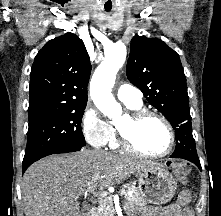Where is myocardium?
Returning a JSON list of instances; mask_svg holds the SVG:
<instances>
[{
  "instance_id": "obj_1",
  "label": "myocardium",
  "mask_w": 221,
  "mask_h": 216,
  "mask_svg": "<svg viewBox=\"0 0 221 216\" xmlns=\"http://www.w3.org/2000/svg\"><path fill=\"white\" fill-rule=\"evenodd\" d=\"M154 117L160 120L166 127L169 134V144L166 150L160 153H148L143 151L136 145L133 139L134 130L142 123L146 118ZM117 138L119 145L125 151L134 153L136 155L145 158H162L171 153L175 146L176 136L170 121L162 114L141 108L138 110H132L130 113L125 114L121 121L116 124Z\"/></svg>"
}]
</instances>
